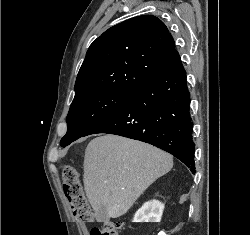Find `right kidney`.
<instances>
[{"instance_id":"1","label":"right kidney","mask_w":250,"mask_h":235,"mask_svg":"<svg viewBox=\"0 0 250 235\" xmlns=\"http://www.w3.org/2000/svg\"><path fill=\"white\" fill-rule=\"evenodd\" d=\"M164 210V204L158 200H151L135 213L134 222H160Z\"/></svg>"}]
</instances>
